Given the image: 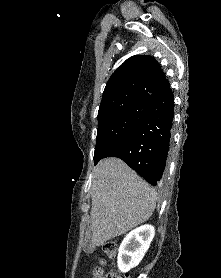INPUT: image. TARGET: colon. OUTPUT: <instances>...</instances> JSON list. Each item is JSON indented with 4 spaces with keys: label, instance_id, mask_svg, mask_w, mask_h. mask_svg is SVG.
Listing matches in <instances>:
<instances>
[{
    "label": "colon",
    "instance_id": "1",
    "mask_svg": "<svg viewBox=\"0 0 221 278\" xmlns=\"http://www.w3.org/2000/svg\"><path fill=\"white\" fill-rule=\"evenodd\" d=\"M104 252L111 259L115 260L117 257V244L115 242H106L103 246ZM92 278H129L115 272H105L102 267H96L92 271Z\"/></svg>",
    "mask_w": 221,
    "mask_h": 278
}]
</instances>
